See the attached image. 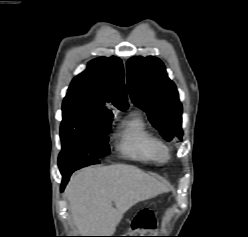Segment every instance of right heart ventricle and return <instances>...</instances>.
Here are the masks:
<instances>
[{
    "mask_svg": "<svg viewBox=\"0 0 248 237\" xmlns=\"http://www.w3.org/2000/svg\"><path fill=\"white\" fill-rule=\"evenodd\" d=\"M114 138L116 150L122 157L140 163L154 162L151 154L154 135L138 113L117 127Z\"/></svg>",
    "mask_w": 248,
    "mask_h": 237,
    "instance_id": "1",
    "label": "right heart ventricle"
}]
</instances>
